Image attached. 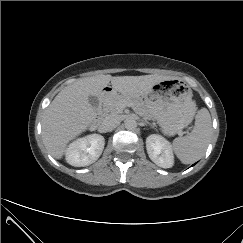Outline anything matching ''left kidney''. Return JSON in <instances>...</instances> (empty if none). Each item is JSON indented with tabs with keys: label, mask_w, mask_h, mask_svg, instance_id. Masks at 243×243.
<instances>
[{
	"label": "left kidney",
	"mask_w": 243,
	"mask_h": 243,
	"mask_svg": "<svg viewBox=\"0 0 243 243\" xmlns=\"http://www.w3.org/2000/svg\"><path fill=\"white\" fill-rule=\"evenodd\" d=\"M146 149L149 158L162 168H171L174 156L171 145L164 137L152 134L146 139Z\"/></svg>",
	"instance_id": "5707ae66"
}]
</instances>
